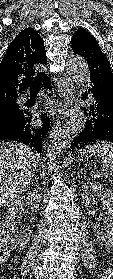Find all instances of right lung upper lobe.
<instances>
[{"label": "right lung upper lobe", "mask_w": 113, "mask_h": 279, "mask_svg": "<svg viewBox=\"0 0 113 279\" xmlns=\"http://www.w3.org/2000/svg\"><path fill=\"white\" fill-rule=\"evenodd\" d=\"M35 64H47L44 43L36 30L21 31L8 47L0 63V109L16 104L18 93H23L25 79L35 75ZM44 73H38L42 79Z\"/></svg>", "instance_id": "right-lung-upper-lobe-1"}]
</instances>
